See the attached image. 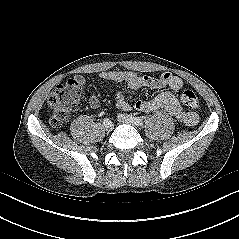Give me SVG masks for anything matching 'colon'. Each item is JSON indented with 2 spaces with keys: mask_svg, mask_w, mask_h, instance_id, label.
<instances>
[{
  "mask_svg": "<svg viewBox=\"0 0 239 239\" xmlns=\"http://www.w3.org/2000/svg\"><path fill=\"white\" fill-rule=\"evenodd\" d=\"M83 85L75 79H70L58 85L48 98L50 123L53 127H61L69 115L79 106ZM181 101L189 108L199 106L197 94L191 89L181 93Z\"/></svg>",
  "mask_w": 239,
  "mask_h": 239,
  "instance_id": "1",
  "label": "colon"
}]
</instances>
